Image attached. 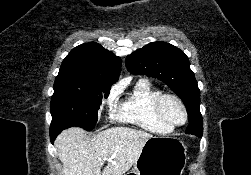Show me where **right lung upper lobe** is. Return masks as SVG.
Returning <instances> with one entry per match:
<instances>
[{
    "label": "right lung upper lobe",
    "mask_w": 251,
    "mask_h": 175,
    "mask_svg": "<svg viewBox=\"0 0 251 175\" xmlns=\"http://www.w3.org/2000/svg\"><path fill=\"white\" fill-rule=\"evenodd\" d=\"M121 59L100 44H81L63 60L55 81L110 87L119 77Z\"/></svg>",
    "instance_id": "cb5924a9"
}]
</instances>
